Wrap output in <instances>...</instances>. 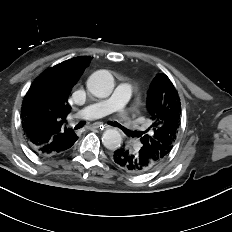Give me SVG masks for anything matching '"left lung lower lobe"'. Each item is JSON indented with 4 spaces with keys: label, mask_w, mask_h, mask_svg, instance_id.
I'll use <instances>...</instances> for the list:
<instances>
[{
    "label": "left lung lower lobe",
    "mask_w": 232,
    "mask_h": 232,
    "mask_svg": "<svg viewBox=\"0 0 232 232\" xmlns=\"http://www.w3.org/2000/svg\"><path fill=\"white\" fill-rule=\"evenodd\" d=\"M114 164L123 171L141 175L153 171L159 164L152 161L144 151L132 152L125 148L116 150L112 155Z\"/></svg>",
    "instance_id": "left-lung-lower-lobe-1"
}]
</instances>
